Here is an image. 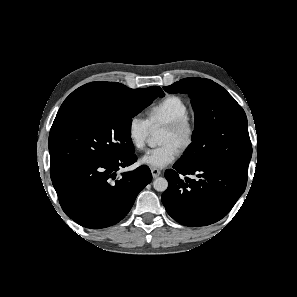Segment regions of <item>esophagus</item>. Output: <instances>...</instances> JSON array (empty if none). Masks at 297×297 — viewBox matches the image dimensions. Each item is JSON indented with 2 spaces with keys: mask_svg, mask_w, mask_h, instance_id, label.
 Listing matches in <instances>:
<instances>
[{
  "mask_svg": "<svg viewBox=\"0 0 297 297\" xmlns=\"http://www.w3.org/2000/svg\"><path fill=\"white\" fill-rule=\"evenodd\" d=\"M151 174H152L153 178H157L161 174V171L159 169L152 168Z\"/></svg>",
  "mask_w": 297,
  "mask_h": 297,
  "instance_id": "1",
  "label": "esophagus"
}]
</instances>
